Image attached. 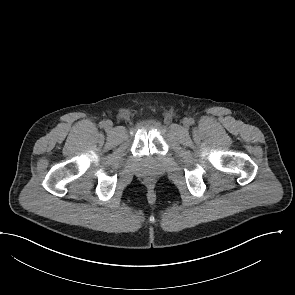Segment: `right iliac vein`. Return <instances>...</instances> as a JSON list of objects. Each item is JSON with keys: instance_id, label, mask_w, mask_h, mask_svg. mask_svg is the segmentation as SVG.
<instances>
[{"instance_id": "obj_1", "label": "right iliac vein", "mask_w": 295, "mask_h": 295, "mask_svg": "<svg viewBox=\"0 0 295 295\" xmlns=\"http://www.w3.org/2000/svg\"><path fill=\"white\" fill-rule=\"evenodd\" d=\"M107 130H111L112 129V127H113V123H112V121H110V120H107L106 122H105V126H104Z\"/></svg>"}]
</instances>
